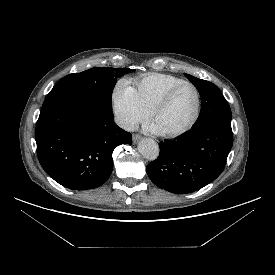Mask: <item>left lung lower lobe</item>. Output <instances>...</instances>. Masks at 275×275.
<instances>
[{
    "mask_svg": "<svg viewBox=\"0 0 275 275\" xmlns=\"http://www.w3.org/2000/svg\"><path fill=\"white\" fill-rule=\"evenodd\" d=\"M232 144L230 121L206 123L177 141L160 142L159 157L147 165L146 171L162 189L191 193L221 174Z\"/></svg>",
    "mask_w": 275,
    "mask_h": 275,
    "instance_id": "obj_1",
    "label": "left lung lower lobe"
}]
</instances>
